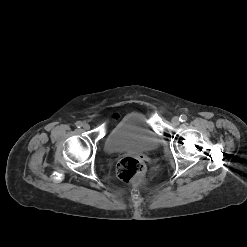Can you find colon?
Wrapping results in <instances>:
<instances>
[{"instance_id":"5ec220e1","label":"colon","mask_w":247,"mask_h":247,"mask_svg":"<svg viewBox=\"0 0 247 247\" xmlns=\"http://www.w3.org/2000/svg\"><path fill=\"white\" fill-rule=\"evenodd\" d=\"M144 174V163L138 157H124L117 164V176L124 182H141Z\"/></svg>"}]
</instances>
